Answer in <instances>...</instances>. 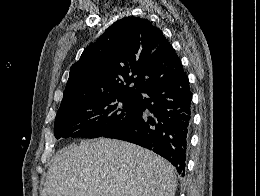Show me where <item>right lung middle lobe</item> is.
<instances>
[{"instance_id": "1", "label": "right lung middle lobe", "mask_w": 260, "mask_h": 196, "mask_svg": "<svg viewBox=\"0 0 260 196\" xmlns=\"http://www.w3.org/2000/svg\"><path fill=\"white\" fill-rule=\"evenodd\" d=\"M142 116L136 96L99 94L58 110L54 134L61 137L97 138Z\"/></svg>"}]
</instances>
